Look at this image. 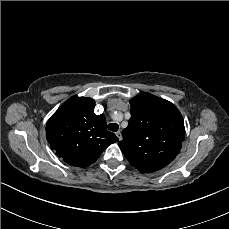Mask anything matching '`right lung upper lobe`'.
I'll list each match as a JSON object with an SVG mask.
<instances>
[{"instance_id":"cb5924a9","label":"right lung upper lobe","mask_w":229,"mask_h":229,"mask_svg":"<svg viewBox=\"0 0 229 229\" xmlns=\"http://www.w3.org/2000/svg\"><path fill=\"white\" fill-rule=\"evenodd\" d=\"M91 98H69L46 125V138L57 155L72 166L85 168L118 138L107 131L106 118L94 114Z\"/></svg>"}]
</instances>
